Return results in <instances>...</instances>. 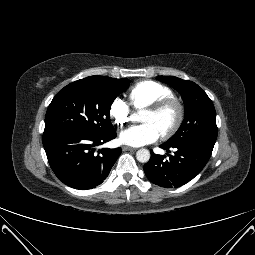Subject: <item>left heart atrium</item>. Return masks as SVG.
Listing matches in <instances>:
<instances>
[{
	"label": "left heart atrium",
	"mask_w": 255,
	"mask_h": 255,
	"mask_svg": "<svg viewBox=\"0 0 255 255\" xmlns=\"http://www.w3.org/2000/svg\"><path fill=\"white\" fill-rule=\"evenodd\" d=\"M160 136V131L154 125L144 123L122 131L120 141L126 145L139 147L157 141Z\"/></svg>",
	"instance_id": "left-heart-atrium-1"
}]
</instances>
